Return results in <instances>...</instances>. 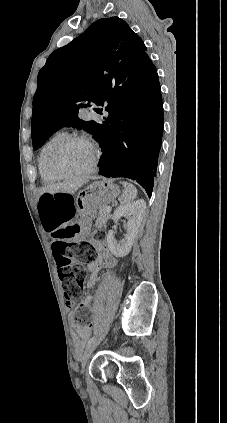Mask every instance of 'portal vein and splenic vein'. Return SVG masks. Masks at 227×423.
I'll return each mask as SVG.
<instances>
[{
  "instance_id": "portal-vein-and-splenic-vein-1",
  "label": "portal vein and splenic vein",
  "mask_w": 227,
  "mask_h": 423,
  "mask_svg": "<svg viewBox=\"0 0 227 423\" xmlns=\"http://www.w3.org/2000/svg\"><path fill=\"white\" fill-rule=\"evenodd\" d=\"M107 211H111L112 208H110V206H108V208H106Z\"/></svg>"
}]
</instances>
